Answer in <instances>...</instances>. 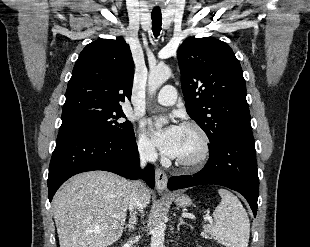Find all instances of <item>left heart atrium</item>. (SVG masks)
<instances>
[{
  "label": "left heart atrium",
  "instance_id": "39dd6f15",
  "mask_svg": "<svg viewBox=\"0 0 310 247\" xmlns=\"http://www.w3.org/2000/svg\"><path fill=\"white\" fill-rule=\"evenodd\" d=\"M181 129L182 127L175 123L168 124L162 128H159L155 123H152V134L156 145L162 153L170 157L177 156Z\"/></svg>",
  "mask_w": 310,
  "mask_h": 247
}]
</instances>
